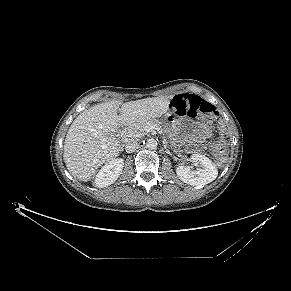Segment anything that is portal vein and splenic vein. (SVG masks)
Masks as SVG:
<instances>
[{"label": "portal vein and splenic vein", "mask_w": 291, "mask_h": 291, "mask_svg": "<svg viewBox=\"0 0 291 291\" xmlns=\"http://www.w3.org/2000/svg\"><path fill=\"white\" fill-rule=\"evenodd\" d=\"M152 127H153V129L160 130V128L157 126H152Z\"/></svg>", "instance_id": "obj_1"}]
</instances>
